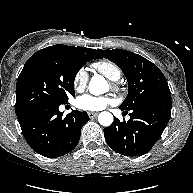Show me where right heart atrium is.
Segmentation results:
<instances>
[{
  "instance_id": "right-heart-atrium-1",
  "label": "right heart atrium",
  "mask_w": 193,
  "mask_h": 193,
  "mask_svg": "<svg viewBox=\"0 0 193 193\" xmlns=\"http://www.w3.org/2000/svg\"><path fill=\"white\" fill-rule=\"evenodd\" d=\"M88 83V72L84 67L79 68L73 76V86L76 91H83Z\"/></svg>"
}]
</instances>
